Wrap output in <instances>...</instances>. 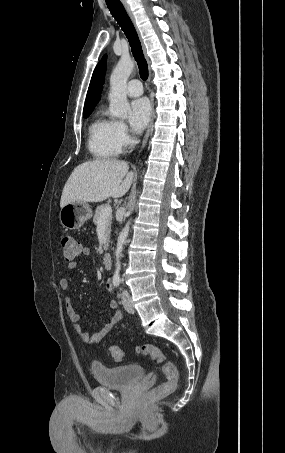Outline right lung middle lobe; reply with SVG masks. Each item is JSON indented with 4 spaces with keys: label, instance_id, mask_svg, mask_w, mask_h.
Segmentation results:
<instances>
[{
    "label": "right lung middle lobe",
    "instance_id": "1",
    "mask_svg": "<svg viewBox=\"0 0 285 453\" xmlns=\"http://www.w3.org/2000/svg\"><path fill=\"white\" fill-rule=\"evenodd\" d=\"M92 110L91 111H87V112H83V117L84 118H87L89 117V115L91 114Z\"/></svg>",
    "mask_w": 285,
    "mask_h": 453
}]
</instances>
